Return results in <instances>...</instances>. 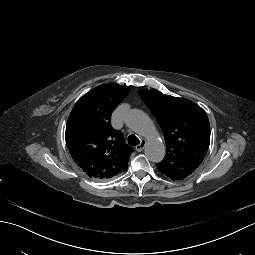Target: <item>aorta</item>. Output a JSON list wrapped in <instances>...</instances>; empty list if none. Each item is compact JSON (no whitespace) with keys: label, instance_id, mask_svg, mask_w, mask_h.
<instances>
[{"label":"aorta","instance_id":"762f6f07","mask_svg":"<svg viewBox=\"0 0 255 255\" xmlns=\"http://www.w3.org/2000/svg\"><path fill=\"white\" fill-rule=\"evenodd\" d=\"M125 122L134 132L147 140L145 155L152 162H159L165 154V146L151 119L141 110L131 109L127 112Z\"/></svg>","mask_w":255,"mask_h":255}]
</instances>
